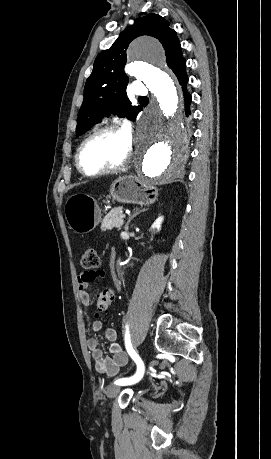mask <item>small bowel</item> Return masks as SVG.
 I'll list each match as a JSON object with an SVG mask.
<instances>
[{
  "mask_svg": "<svg viewBox=\"0 0 271 459\" xmlns=\"http://www.w3.org/2000/svg\"><path fill=\"white\" fill-rule=\"evenodd\" d=\"M105 276V271L101 268L92 271H85L78 277L79 300L84 307L91 304V298L87 292L89 282L101 279ZM94 331L102 329V323L99 320L92 322ZM105 338L111 343L109 347L110 356H105L103 351L99 348L95 339L87 341V347L94 361L95 369L98 373L107 375L109 377L115 376L121 367L127 363V355L116 342L117 332L114 328H107L105 330Z\"/></svg>",
  "mask_w": 271,
  "mask_h": 459,
  "instance_id": "small-bowel-1",
  "label": "small bowel"
}]
</instances>
